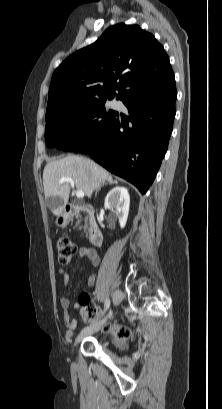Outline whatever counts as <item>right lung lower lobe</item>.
<instances>
[{
    "mask_svg": "<svg viewBox=\"0 0 222 409\" xmlns=\"http://www.w3.org/2000/svg\"><path fill=\"white\" fill-rule=\"evenodd\" d=\"M164 89L123 100L128 115L115 113L104 140L86 150L100 165L125 178L144 194L167 151L176 114L173 73L161 76Z\"/></svg>",
    "mask_w": 222,
    "mask_h": 409,
    "instance_id": "1",
    "label": "right lung lower lobe"
}]
</instances>
